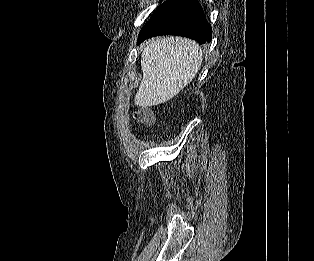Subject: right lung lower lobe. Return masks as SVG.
Here are the masks:
<instances>
[{
    "label": "right lung lower lobe",
    "instance_id": "1",
    "mask_svg": "<svg viewBox=\"0 0 314 261\" xmlns=\"http://www.w3.org/2000/svg\"><path fill=\"white\" fill-rule=\"evenodd\" d=\"M159 35L188 37L202 44L211 41L212 28L197 0H175L142 28L137 44Z\"/></svg>",
    "mask_w": 314,
    "mask_h": 261
}]
</instances>
